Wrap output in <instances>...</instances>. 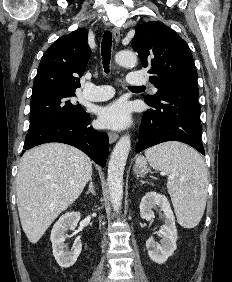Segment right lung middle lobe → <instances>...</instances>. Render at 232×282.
Here are the masks:
<instances>
[{
    "label": "right lung middle lobe",
    "mask_w": 232,
    "mask_h": 282,
    "mask_svg": "<svg viewBox=\"0 0 232 282\" xmlns=\"http://www.w3.org/2000/svg\"><path fill=\"white\" fill-rule=\"evenodd\" d=\"M74 90L43 89L31 96L29 130L36 129L60 117H83L85 110L80 104L70 102Z\"/></svg>",
    "instance_id": "1"
}]
</instances>
